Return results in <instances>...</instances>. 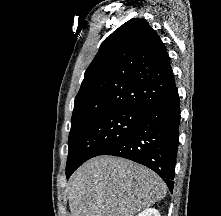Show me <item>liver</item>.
Returning a JSON list of instances; mask_svg holds the SVG:
<instances>
[{"mask_svg":"<svg viewBox=\"0 0 221 216\" xmlns=\"http://www.w3.org/2000/svg\"><path fill=\"white\" fill-rule=\"evenodd\" d=\"M67 192L71 216H134L163 199L167 187L143 165L100 156L77 169Z\"/></svg>","mask_w":221,"mask_h":216,"instance_id":"liver-1","label":"liver"}]
</instances>
